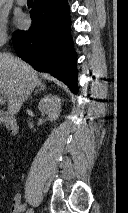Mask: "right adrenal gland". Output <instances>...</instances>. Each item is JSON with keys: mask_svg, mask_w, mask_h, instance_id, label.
I'll return each instance as SVG.
<instances>
[{"mask_svg": "<svg viewBox=\"0 0 128 213\" xmlns=\"http://www.w3.org/2000/svg\"><path fill=\"white\" fill-rule=\"evenodd\" d=\"M46 89V86L44 83L40 82L38 85H37V89L35 90L34 92V95H36L39 91H42V90H45ZM31 97V95L29 96Z\"/></svg>", "mask_w": 128, "mask_h": 213, "instance_id": "right-adrenal-gland-1", "label": "right adrenal gland"}]
</instances>
